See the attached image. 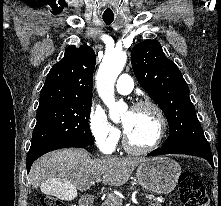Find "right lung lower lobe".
I'll use <instances>...</instances> for the list:
<instances>
[{
  "mask_svg": "<svg viewBox=\"0 0 221 206\" xmlns=\"http://www.w3.org/2000/svg\"><path fill=\"white\" fill-rule=\"evenodd\" d=\"M87 146H90L89 144L86 143H64V144H59V145H53V146H49V147H44L41 149H37L34 151H29L28 156H27V162H26V166H27V172L30 171V168L33 164V162L39 158L40 156H42L43 154L56 150V149H60V148H67V147H78V148H85Z\"/></svg>",
  "mask_w": 221,
  "mask_h": 206,
  "instance_id": "1",
  "label": "right lung lower lobe"
}]
</instances>
